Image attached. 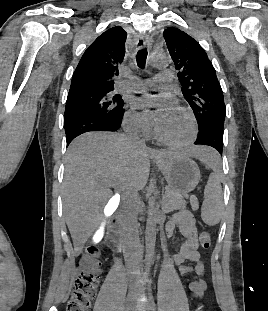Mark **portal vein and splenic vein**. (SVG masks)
Here are the masks:
<instances>
[{
	"mask_svg": "<svg viewBox=\"0 0 268 311\" xmlns=\"http://www.w3.org/2000/svg\"><path fill=\"white\" fill-rule=\"evenodd\" d=\"M110 183H111V182H110ZM110 183H109V184H110ZM118 198H119V197H113L112 199H113V200H117Z\"/></svg>",
	"mask_w": 268,
	"mask_h": 311,
	"instance_id": "obj_1",
	"label": "portal vein and splenic vein"
}]
</instances>
